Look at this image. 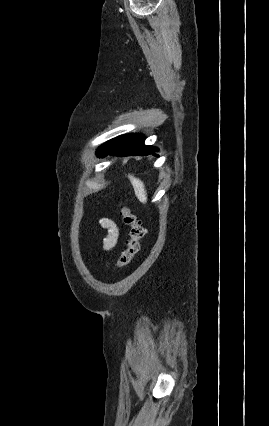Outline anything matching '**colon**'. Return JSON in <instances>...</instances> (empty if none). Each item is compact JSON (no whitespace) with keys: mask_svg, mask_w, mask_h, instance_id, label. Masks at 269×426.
Listing matches in <instances>:
<instances>
[{"mask_svg":"<svg viewBox=\"0 0 269 426\" xmlns=\"http://www.w3.org/2000/svg\"><path fill=\"white\" fill-rule=\"evenodd\" d=\"M123 224L129 228L127 247L121 252L114 269L127 266L140 250V242L145 235V229L129 206L123 205L120 209Z\"/></svg>","mask_w":269,"mask_h":426,"instance_id":"1","label":"colon"}]
</instances>
